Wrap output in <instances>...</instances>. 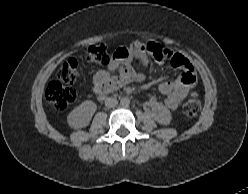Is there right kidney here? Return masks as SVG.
I'll list each match as a JSON object with an SVG mask.
<instances>
[{
  "label": "right kidney",
  "mask_w": 248,
  "mask_h": 194,
  "mask_svg": "<svg viewBox=\"0 0 248 194\" xmlns=\"http://www.w3.org/2000/svg\"><path fill=\"white\" fill-rule=\"evenodd\" d=\"M96 109L97 105L94 102L89 100L82 102L68 114V125L74 129L86 127L90 123Z\"/></svg>",
  "instance_id": "obj_1"
}]
</instances>
